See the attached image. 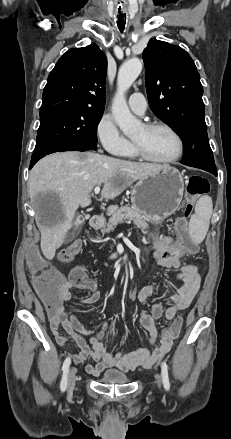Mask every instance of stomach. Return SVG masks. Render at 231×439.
Returning <instances> with one entry per match:
<instances>
[{
  "label": "stomach",
  "instance_id": "obj_1",
  "mask_svg": "<svg viewBox=\"0 0 231 439\" xmlns=\"http://www.w3.org/2000/svg\"><path fill=\"white\" fill-rule=\"evenodd\" d=\"M183 191V175L166 166L138 180L131 191V203L151 223L158 224L178 209Z\"/></svg>",
  "mask_w": 231,
  "mask_h": 439
}]
</instances>
